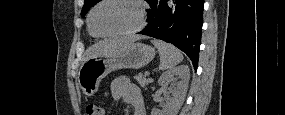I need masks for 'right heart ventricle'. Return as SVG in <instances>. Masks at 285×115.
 I'll use <instances>...</instances> for the list:
<instances>
[{
  "label": "right heart ventricle",
  "mask_w": 285,
  "mask_h": 115,
  "mask_svg": "<svg viewBox=\"0 0 285 115\" xmlns=\"http://www.w3.org/2000/svg\"><path fill=\"white\" fill-rule=\"evenodd\" d=\"M90 32V31H89ZM92 36H94L93 34H91ZM94 37H96V36H94ZM96 38H99V37H96Z\"/></svg>",
  "instance_id": "right-heart-ventricle-1"
}]
</instances>
